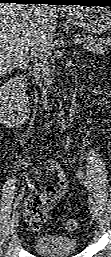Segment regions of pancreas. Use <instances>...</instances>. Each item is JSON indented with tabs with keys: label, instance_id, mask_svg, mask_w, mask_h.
Masks as SVG:
<instances>
[{
	"label": "pancreas",
	"instance_id": "1",
	"mask_svg": "<svg viewBox=\"0 0 111 257\" xmlns=\"http://www.w3.org/2000/svg\"><path fill=\"white\" fill-rule=\"evenodd\" d=\"M80 39V43L83 44L84 48L96 55H104V53L107 51V46L111 45L110 39L97 38L93 37L92 35L83 36Z\"/></svg>",
	"mask_w": 111,
	"mask_h": 257
}]
</instances>
